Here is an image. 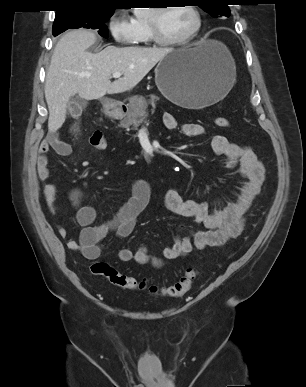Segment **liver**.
<instances>
[{
    "instance_id": "obj_1",
    "label": "liver",
    "mask_w": 306,
    "mask_h": 387,
    "mask_svg": "<svg viewBox=\"0 0 306 387\" xmlns=\"http://www.w3.org/2000/svg\"><path fill=\"white\" fill-rule=\"evenodd\" d=\"M96 35L85 29L63 35L55 46L45 80L49 109L48 129L55 132L65 122L70 97L101 99L106 94L132 90L173 48L107 46L98 53L88 49ZM122 77L111 82L112 74Z\"/></svg>"
}]
</instances>
